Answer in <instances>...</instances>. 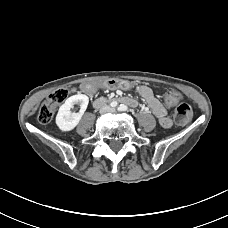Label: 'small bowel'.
<instances>
[{
	"instance_id": "c3829d8e",
	"label": "small bowel",
	"mask_w": 228,
	"mask_h": 228,
	"mask_svg": "<svg viewBox=\"0 0 228 228\" xmlns=\"http://www.w3.org/2000/svg\"><path fill=\"white\" fill-rule=\"evenodd\" d=\"M101 86L107 89L122 90L132 88V85L129 82L114 79L103 82ZM84 89L88 90L89 88L85 87ZM134 91L145 100L162 127L170 128L172 126V120L168 116V108L155 97L151 88L146 85H137L134 87Z\"/></svg>"
}]
</instances>
